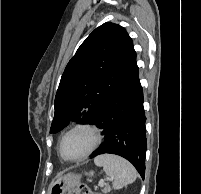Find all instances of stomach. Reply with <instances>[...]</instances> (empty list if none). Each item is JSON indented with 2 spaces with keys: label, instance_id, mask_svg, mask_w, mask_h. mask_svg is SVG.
Here are the masks:
<instances>
[{
  "label": "stomach",
  "instance_id": "stomach-1",
  "mask_svg": "<svg viewBox=\"0 0 201 194\" xmlns=\"http://www.w3.org/2000/svg\"><path fill=\"white\" fill-rule=\"evenodd\" d=\"M90 172L88 175H93ZM81 176L67 174L54 180L50 187V194H65L69 189L75 188L80 183Z\"/></svg>",
  "mask_w": 201,
  "mask_h": 194
}]
</instances>
